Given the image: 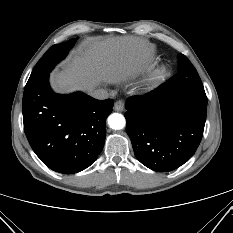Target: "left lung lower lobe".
Here are the masks:
<instances>
[{
    "label": "left lung lower lobe",
    "instance_id": "0a47b994",
    "mask_svg": "<svg viewBox=\"0 0 233 233\" xmlns=\"http://www.w3.org/2000/svg\"><path fill=\"white\" fill-rule=\"evenodd\" d=\"M126 131L136 158L157 171H172L193 156L202 139L207 113L205 92L170 86L130 97Z\"/></svg>",
    "mask_w": 233,
    "mask_h": 233
}]
</instances>
